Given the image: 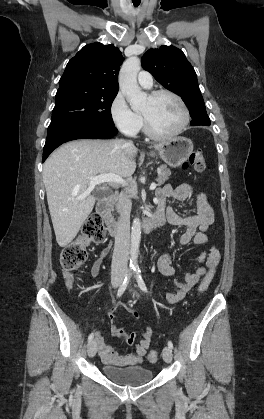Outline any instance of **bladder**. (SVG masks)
<instances>
[{"instance_id": "bladder-1", "label": "bladder", "mask_w": 264, "mask_h": 419, "mask_svg": "<svg viewBox=\"0 0 264 419\" xmlns=\"http://www.w3.org/2000/svg\"><path fill=\"white\" fill-rule=\"evenodd\" d=\"M103 374L112 382L122 386H140L151 381L153 372L143 366L116 367L104 365Z\"/></svg>"}]
</instances>
